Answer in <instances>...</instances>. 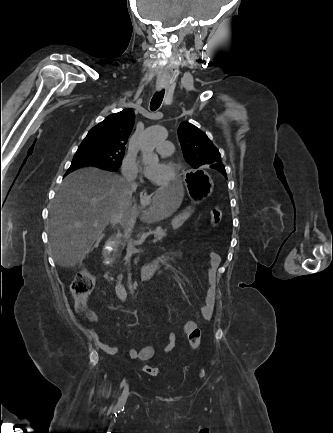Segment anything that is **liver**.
Returning a JSON list of instances; mask_svg holds the SVG:
<instances>
[{
  "label": "liver",
  "instance_id": "obj_1",
  "mask_svg": "<svg viewBox=\"0 0 333 433\" xmlns=\"http://www.w3.org/2000/svg\"><path fill=\"white\" fill-rule=\"evenodd\" d=\"M140 220L159 222L179 210L186 198L185 183H165ZM131 189L123 177L95 167L76 170L65 177L49 206V242L54 260L62 267L81 264L111 218L125 223L131 212Z\"/></svg>",
  "mask_w": 333,
  "mask_h": 433
}]
</instances>
